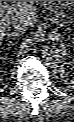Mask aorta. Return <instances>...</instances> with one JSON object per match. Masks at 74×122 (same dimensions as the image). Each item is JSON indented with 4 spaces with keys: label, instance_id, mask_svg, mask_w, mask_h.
Returning <instances> with one entry per match:
<instances>
[{
    "label": "aorta",
    "instance_id": "aorta-1",
    "mask_svg": "<svg viewBox=\"0 0 74 122\" xmlns=\"http://www.w3.org/2000/svg\"><path fill=\"white\" fill-rule=\"evenodd\" d=\"M40 57L42 61L53 68L58 67L64 60V54L55 45L46 44L42 46Z\"/></svg>",
    "mask_w": 74,
    "mask_h": 122
}]
</instances>
